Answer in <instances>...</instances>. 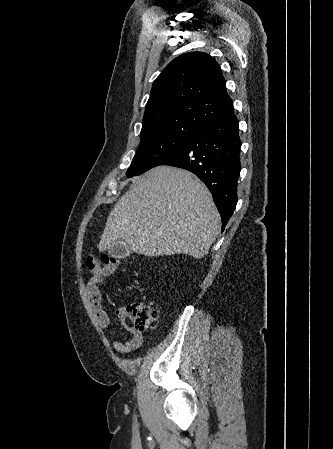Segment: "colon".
Segmentation results:
<instances>
[{
	"mask_svg": "<svg viewBox=\"0 0 333 449\" xmlns=\"http://www.w3.org/2000/svg\"><path fill=\"white\" fill-rule=\"evenodd\" d=\"M121 260L108 254L89 253L86 266L94 274L108 275L116 270ZM126 316L131 327L138 331L154 329L159 319V309L155 306L135 301L126 307Z\"/></svg>",
	"mask_w": 333,
	"mask_h": 449,
	"instance_id": "colon-1",
	"label": "colon"
}]
</instances>
